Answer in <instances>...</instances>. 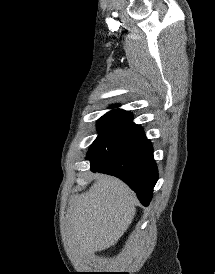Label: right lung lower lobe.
I'll return each instance as SVG.
<instances>
[{"label":"right lung lower lobe","instance_id":"right-lung-lower-lobe-1","mask_svg":"<svg viewBox=\"0 0 215 274\" xmlns=\"http://www.w3.org/2000/svg\"><path fill=\"white\" fill-rule=\"evenodd\" d=\"M91 170L116 176L137 194L144 206H148L158 179L151 143L143 135L125 154L109 165L89 159Z\"/></svg>","mask_w":215,"mask_h":274}]
</instances>
